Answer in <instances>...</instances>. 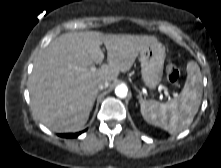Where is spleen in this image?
<instances>
[{
  "label": "spleen",
  "instance_id": "spleen-1",
  "mask_svg": "<svg viewBox=\"0 0 221 168\" xmlns=\"http://www.w3.org/2000/svg\"><path fill=\"white\" fill-rule=\"evenodd\" d=\"M188 76L178 97L168 103L155 100L142 101L140 110L143 118L170 134H178L193 121L202 98V76L198 64H187Z\"/></svg>",
  "mask_w": 221,
  "mask_h": 168
}]
</instances>
